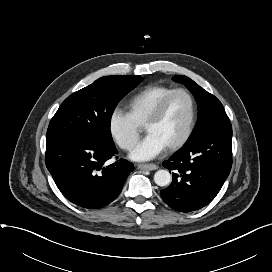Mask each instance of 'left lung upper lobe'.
Masks as SVG:
<instances>
[{
    "label": "left lung upper lobe",
    "instance_id": "5c2ea615",
    "mask_svg": "<svg viewBox=\"0 0 272 272\" xmlns=\"http://www.w3.org/2000/svg\"><path fill=\"white\" fill-rule=\"evenodd\" d=\"M172 80L184 84L194 95L198 103V122L187 141L215 129L231 127L223 105L214 95L204 90L186 76L177 75Z\"/></svg>",
    "mask_w": 272,
    "mask_h": 272
}]
</instances>
